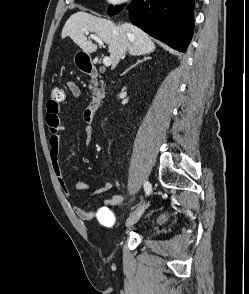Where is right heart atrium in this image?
<instances>
[{
    "label": "right heart atrium",
    "instance_id": "d8ad5b80",
    "mask_svg": "<svg viewBox=\"0 0 249 294\" xmlns=\"http://www.w3.org/2000/svg\"><path fill=\"white\" fill-rule=\"evenodd\" d=\"M110 4L112 5H121V4H126L130 0H107Z\"/></svg>",
    "mask_w": 249,
    "mask_h": 294
}]
</instances>
